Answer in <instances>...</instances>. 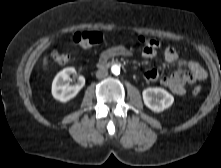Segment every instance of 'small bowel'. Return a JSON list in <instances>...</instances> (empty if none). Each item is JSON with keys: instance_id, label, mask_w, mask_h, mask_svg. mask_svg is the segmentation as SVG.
I'll return each instance as SVG.
<instances>
[{"instance_id": "small-bowel-1", "label": "small bowel", "mask_w": 221, "mask_h": 168, "mask_svg": "<svg viewBox=\"0 0 221 168\" xmlns=\"http://www.w3.org/2000/svg\"><path fill=\"white\" fill-rule=\"evenodd\" d=\"M159 46V45H158ZM157 48L144 47L142 55L145 58H154L157 54ZM131 51L122 45L111 47L103 51L100 56V62H105L110 57L115 56H130ZM164 58L169 63H174L178 60V53L175 48L168 46L164 50ZM144 77L147 81H160V84L168 88L176 95H183L186 92V85L198 80H202L206 77L205 70L196 61H189L187 69L184 71H178L174 74L160 77L156 69H148L144 73Z\"/></svg>"}]
</instances>
